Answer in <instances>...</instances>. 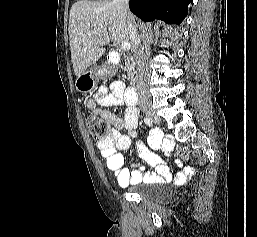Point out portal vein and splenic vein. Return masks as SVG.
<instances>
[{"mask_svg":"<svg viewBox=\"0 0 257 237\" xmlns=\"http://www.w3.org/2000/svg\"><path fill=\"white\" fill-rule=\"evenodd\" d=\"M96 30H93L92 31V33L93 34H96ZM121 49L123 50V51H128V50H130V43L129 42H123V43H121Z\"/></svg>","mask_w":257,"mask_h":237,"instance_id":"obj_1","label":"portal vein and splenic vein"}]
</instances>
